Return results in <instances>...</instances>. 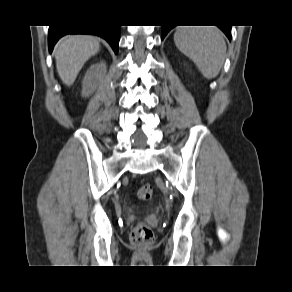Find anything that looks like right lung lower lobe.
Segmentation results:
<instances>
[{"mask_svg":"<svg viewBox=\"0 0 292 292\" xmlns=\"http://www.w3.org/2000/svg\"><path fill=\"white\" fill-rule=\"evenodd\" d=\"M66 34H92L97 35L111 45L115 54L118 52V43L120 38V26L108 25H76V26H50L49 27V51L52 52L57 40Z\"/></svg>","mask_w":292,"mask_h":292,"instance_id":"obj_1","label":"right lung lower lobe"}]
</instances>
